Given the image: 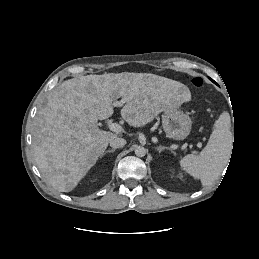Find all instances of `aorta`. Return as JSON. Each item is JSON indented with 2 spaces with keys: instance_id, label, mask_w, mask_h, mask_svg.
<instances>
[{
  "instance_id": "obj_1",
  "label": "aorta",
  "mask_w": 259,
  "mask_h": 259,
  "mask_svg": "<svg viewBox=\"0 0 259 259\" xmlns=\"http://www.w3.org/2000/svg\"><path fill=\"white\" fill-rule=\"evenodd\" d=\"M135 155L138 157H144L146 155V149L142 146L136 147Z\"/></svg>"
}]
</instances>
